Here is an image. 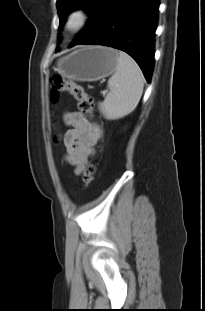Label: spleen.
<instances>
[{
	"label": "spleen",
	"instance_id": "spleen-1",
	"mask_svg": "<svg viewBox=\"0 0 205 311\" xmlns=\"http://www.w3.org/2000/svg\"><path fill=\"white\" fill-rule=\"evenodd\" d=\"M109 93L99 104L101 112L109 120L130 114L143 93L144 75L136 61L119 51L116 72L108 80Z\"/></svg>",
	"mask_w": 205,
	"mask_h": 311
}]
</instances>
